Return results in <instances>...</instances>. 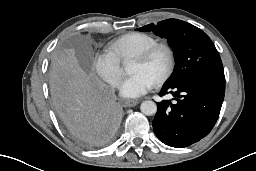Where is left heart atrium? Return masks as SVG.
<instances>
[{"label": "left heart atrium", "mask_w": 256, "mask_h": 171, "mask_svg": "<svg viewBox=\"0 0 256 171\" xmlns=\"http://www.w3.org/2000/svg\"><path fill=\"white\" fill-rule=\"evenodd\" d=\"M155 83L143 73L124 79L119 85L120 94L126 98H137L149 92Z\"/></svg>", "instance_id": "39dd6f15"}]
</instances>
